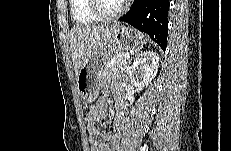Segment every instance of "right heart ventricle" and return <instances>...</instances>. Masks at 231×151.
<instances>
[{"label": "right heart ventricle", "mask_w": 231, "mask_h": 151, "mask_svg": "<svg viewBox=\"0 0 231 151\" xmlns=\"http://www.w3.org/2000/svg\"><path fill=\"white\" fill-rule=\"evenodd\" d=\"M71 14L76 24L90 25L99 21L90 11V0H72Z\"/></svg>", "instance_id": "right-heart-ventricle-1"}]
</instances>
